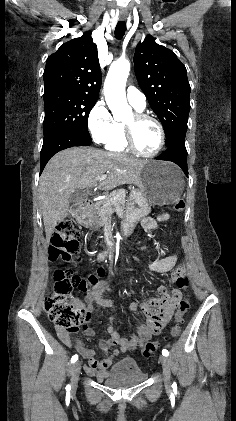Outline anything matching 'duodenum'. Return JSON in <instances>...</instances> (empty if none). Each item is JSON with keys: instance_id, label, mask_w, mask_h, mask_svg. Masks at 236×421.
I'll return each instance as SVG.
<instances>
[{"instance_id": "1", "label": "duodenum", "mask_w": 236, "mask_h": 421, "mask_svg": "<svg viewBox=\"0 0 236 421\" xmlns=\"http://www.w3.org/2000/svg\"><path fill=\"white\" fill-rule=\"evenodd\" d=\"M91 208H92V201L90 199H85L78 202L74 207V216L78 223L90 226L91 225ZM106 253H103L104 256ZM161 296L156 300L160 309L162 316H168L171 313V309L173 304L175 303V298H171L167 295L165 291H160ZM155 318V317H153ZM155 320H150L148 326H142L139 329V334L144 336H149L156 331L155 327ZM112 339L110 340L111 344H120L122 350H126L127 348L132 347L135 342L137 341L136 337H133L130 341L122 340L119 338L118 334L112 329H109Z\"/></svg>"}]
</instances>
